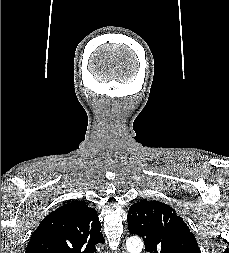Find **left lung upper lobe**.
Listing matches in <instances>:
<instances>
[{
	"instance_id": "obj_1",
	"label": "left lung upper lobe",
	"mask_w": 229,
	"mask_h": 253,
	"mask_svg": "<svg viewBox=\"0 0 229 253\" xmlns=\"http://www.w3.org/2000/svg\"><path fill=\"white\" fill-rule=\"evenodd\" d=\"M127 220L129 232L143 238L149 253H201L194 234L165 203L140 200L129 208Z\"/></svg>"
}]
</instances>
